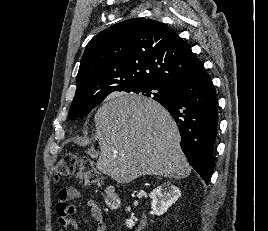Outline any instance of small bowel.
I'll return each mask as SVG.
<instances>
[{
	"mask_svg": "<svg viewBox=\"0 0 268 231\" xmlns=\"http://www.w3.org/2000/svg\"><path fill=\"white\" fill-rule=\"evenodd\" d=\"M83 200L89 208L90 216L96 224L95 231H105V223L99 205L90 197L83 195L74 187H66L60 190L56 199V215L60 227L78 230L73 214L76 207L71 202Z\"/></svg>",
	"mask_w": 268,
	"mask_h": 231,
	"instance_id": "c3829d8e",
	"label": "small bowel"
}]
</instances>
